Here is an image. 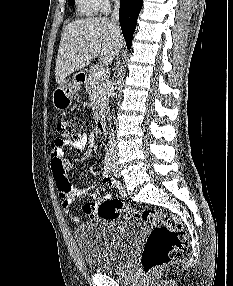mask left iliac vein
I'll return each instance as SVG.
<instances>
[{
	"mask_svg": "<svg viewBox=\"0 0 233 286\" xmlns=\"http://www.w3.org/2000/svg\"><path fill=\"white\" fill-rule=\"evenodd\" d=\"M112 173L117 178H119L121 176L119 167H118V165L116 164L115 161H114V163L112 165Z\"/></svg>",
	"mask_w": 233,
	"mask_h": 286,
	"instance_id": "1",
	"label": "left iliac vein"
}]
</instances>
